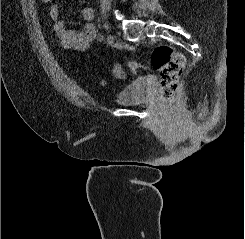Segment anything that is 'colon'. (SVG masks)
<instances>
[{
  "label": "colon",
  "mask_w": 245,
  "mask_h": 239,
  "mask_svg": "<svg viewBox=\"0 0 245 239\" xmlns=\"http://www.w3.org/2000/svg\"><path fill=\"white\" fill-rule=\"evenodd\" d=\"M52 1L41 0L44 4H50ZM152 66L160 73V96L164 102L170 104L185 67V57L173 47L162 44L157 46L152 53ZM113 73L117 78L124 77V71L120 65L114 66Z\"/></svg>",
  "instance_id": "5ec220e1"
}]
</instances>
